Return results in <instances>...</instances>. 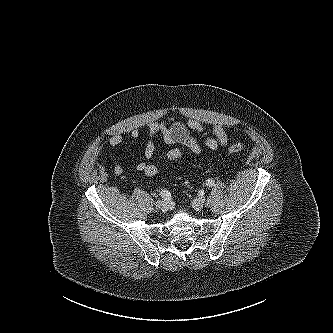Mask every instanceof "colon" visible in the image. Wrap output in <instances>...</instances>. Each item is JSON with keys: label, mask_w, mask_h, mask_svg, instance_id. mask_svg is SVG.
Masks as SVG:
<instances>
[{"label": "colon", "mask_w": 333, "mask_h": 333, "mask_svg": "<svg viewBox=\"0 0 333 333\" xmlns=\"http://www.w3.org/2000/svg\"><path fill=\"white\" fill-rule=\"evenodd\" d=\"M244 149H245V145L243 143H234V144H231L227 148V152L229 154H235V153L241 152ZM181 156H182V151L178 148H173V149L169 150L167 153V158L169 160H177ZM144 173L148 176H154L159 173V168L155 164H147L145 166Z\"/></svg>", "instance_id": "colon-1"}]
</instances>
